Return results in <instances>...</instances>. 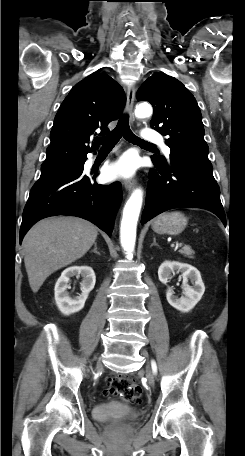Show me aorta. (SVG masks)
<instances>
[{
  "mask_svg": "<svg viewBox=\"0 0 245 456\" xmlns=\"http://www.w3.org/2000/svg\"><path fill=\"white\" fill-rule=\"evenodd\" d=\"M152 112L153 109L149 103H141L136 107L135 115L139 118H145L151 116ZM142 201L143 191L142 189L137 188L131 194L123 210L120 227V241L127 258H132L133 256L136 241L137 222Z\"/></svg>",
  "mask_w": 245,
  "mask_h": 456,
  "instance_id": "1",
  "label": "aorta"
}]
</instances>
